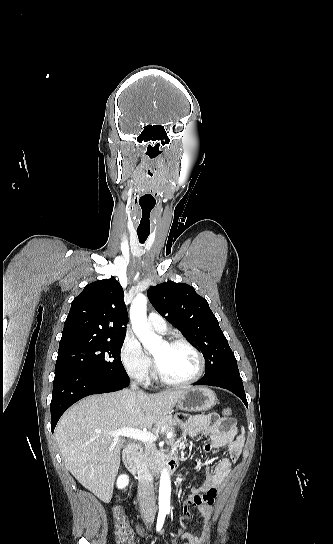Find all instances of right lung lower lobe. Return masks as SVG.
<instances>
[{
    "instance_id": "98d812e1",
    "label": "right lung lower lobe",
    "mask_w": 333,
    "mask_h": 544,
    "mask_svg": "<svg viewBox=\"0 0 333 544\" xmlns=\"http://www.w3.org/2000/svg\"><path fill=\"white\" fill-rule=\"evenodd\" d=\"M129 385V379L120 381L100 377L90 371L69 366L55 368L51 400V431L61 415L75 402L92 394L121 390Z\"/></svg>"
}]
</instances>
